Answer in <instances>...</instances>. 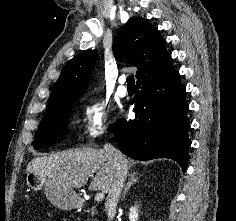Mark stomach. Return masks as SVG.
Instances as JSON below:
<instances>
[{"instance_id":"stomach-1","label":"stomach","mask_w":236,"mask_h":221,"mask_svg":"<svg viewBox=\"0 0 236 221\" xmlns=\"http://www.w3.org/2000/svg\"><path fill=\"white\" fill-rule=\"evenodd\" d=\"M26 182L33 190L44 189L50 202L62 210H71L79 204V197L73 189L41 174L28 172Z\"/></svg>"}]
</instances>
